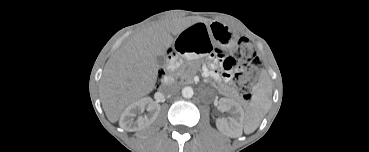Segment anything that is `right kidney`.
<instances>
[{"instance_id":"1","label":"right kidney","mask_w":369,"mask_h":152,"mask_svg":"<svg viewBox=\"0 0 369 152\" xmlns=\"http://www.w3.org/2000/svg\"><path fill=\"white\" fill-rule=\"evenodd\" d=\"M145 109L148 114L140 115ZM159 111L160 105L158 103L150 97H144L130 104L122 113L121 120L129 129L137 131L151 125L157 118Z\"/></svg>"}]
</instances>
